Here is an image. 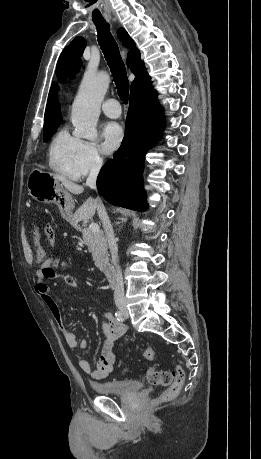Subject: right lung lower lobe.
Instances as JSON below:
<instances>
[{"label":"right lung lower lobe","mask_w":261,"mask_h":459,"mask_svg":"<svg viewBox=\"0 0 261 459\" xmlns=\"http://www.w3.org/2000/svg\"><path fill=\"white\" fill-rule=\"evenodd\" d=\"M164 128L162 107L153 87L130 96L125 136L113 159L102 167L97 188L108 201L131 210L147 209L143 188L144 159Z\"/></svg>","instance_id":"98d812e1"}]
</instances>
